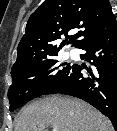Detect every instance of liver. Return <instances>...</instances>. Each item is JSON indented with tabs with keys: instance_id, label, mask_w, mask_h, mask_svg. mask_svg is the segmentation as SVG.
Here are the masks:
<instances>
[{
	"instance_id": "6515ba94",
	"label": "liver",
	"mask_w": 117,
	"mask_h": 131,
	"mask_svg": "<svg viewBox=\"0 0 117 131\" xmlns=\"http://www.w3.org/2000/svg\"><path fill=\"white\" fill-rule=\"evenodd\" d=\"M49 126L57 131H113L109 120L86 102L55 95L23 108L15 131H47Z\"/></svg>"
}]
</instances>
